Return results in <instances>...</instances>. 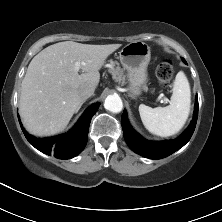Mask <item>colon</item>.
Listing matches in <instances>:
<instances>
[{"mask_svg":"<svg viewBox=\"0 0 222 222\" xmlns=\"http://www.w3.org/2000/svg\"><path fill=\"white\" fill-rule=\"evenodd\" d=\"M174 65L170 59L163 58L157 66L156 75L162 86H167L174 75Z\"/></svg>","mask_w":222,"mask_h":222,"instance_id":"colon-1","label":"colon"}]
</instances>
